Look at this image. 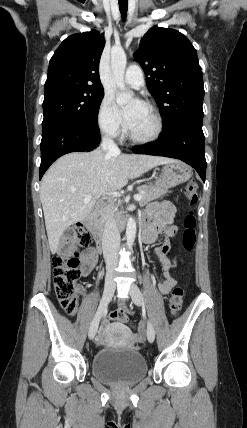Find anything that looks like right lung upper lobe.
I'll return each instance as SVG.
<instances>
[{
    "mask_svg": "<svg viewBox=\"0 0 247 428\" xmlns=\"http://www.w3.org/2000/svg\"><path fill=\"white\" fill-rule=\"evenodd\" d=\"M104 45L103 35L94 30L65 39L51 58L45 92L64 87L103 89L99 61Z\"/></svg>",
    "mask_w": 247,
    "mask_h": 428,
    "instance_id": "1",
    "label": "right lung upper lobe"
}]
</instances>
